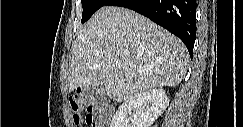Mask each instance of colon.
Returning <instances> with one entry per match:
<instances>
[{
	"label": "colon",
	"mask_w": 243,
	"mask_h": 127,
	"mask_svg": "<svg viewBox=\"0 0 243 127\" xmlns=\"http://www.w3.org/2000/svg\"><path fill=\"white\" fill-rule=\"evenodd\" d=\"M69 106L75 126L80 127L83 123L92 127H105L109 120V111L100 104L88 103L79 94L69 97Z\"/></svg>",
	"instance_id": "colon-1"
}]
</instances>
